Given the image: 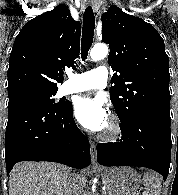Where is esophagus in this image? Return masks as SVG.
<instances>
[{"label":"esophagus","instance_id":"34e87169","mask_svg":"<svg viewBox=\"0 0 178 195\" xmlns=\"http://www.w3.org/2000/svg\"><path fill=\"white\" fill-rule=\"evenodd\" d=\"M90 152H91V163L93 166H98L97 159H96V144L94 141H90Z\"/></svg>","mask_w":178,"mask_h":195}]
</instances>
